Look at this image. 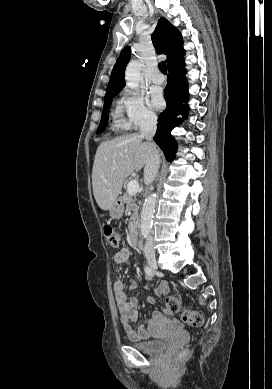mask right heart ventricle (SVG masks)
Segmentation results:
<instances>
[{
  "mask_svg": "<svg viewBox=\"0 0 272 389\" xmlns=\"http://www.w3.org/2000/svg\"><path fill=\"white\" fill-rule=\"evenodd\" d=\"M113 119H114V127L117 130H127L128 129V124L126 121H124L121 117V110L117 108L113 114Z\"/></svg>",
  "mask_w": 272,
  "mask_h": 389,
  "instance_id": "e07e8e85",
  "label": "right heart ventricle"
}]
</instances>
